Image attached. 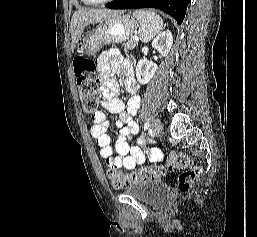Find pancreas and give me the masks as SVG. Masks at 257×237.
Here are the masks:
<instances>
[{
    "instance_id": "cf45deb5",
    "label": "pancreas",
    "mask_w": 257,
    "mask_h": 237,
    "mask_svg": "<svg viewBox=\"0 0 257 237\" xmlns=\"http://www.w3.org/2000/svg\"><path fill=\"white\" fill-rule=\"evenodd\" d=\"M137 45H138L137 41L130 40V41H128L127 43H124V44H123V47H124V49H126V50H132V49L136 48Z\"/></svg>"
}]
</instances>
